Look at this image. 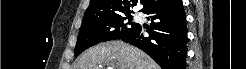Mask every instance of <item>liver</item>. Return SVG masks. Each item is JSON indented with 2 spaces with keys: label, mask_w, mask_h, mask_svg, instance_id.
I'll return each mask as SVG.
<instances>
[{
  "label": "liver",
  "mask_w": 246,
  "mask_h": 69,
  "mask_svg": "<svg viewBox=\"0 0 246 69\" xmlns=\"http://www.w3.org/2000/svg\"><path fill=\"white\" fill-rule=\"evenodd\" d=\"M159 69V66L140 49L111 41L88 49L79 59L75 69Z\"/></svg>",
  "instance_id": "liver-1"
}]
</instances>
